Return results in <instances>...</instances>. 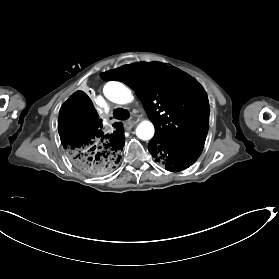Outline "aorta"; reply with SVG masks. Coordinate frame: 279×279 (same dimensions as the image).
<instances>
[{
  "label": "aorta",
  "mask_w": 279,
  "mask_h": 279,
  "mask_svg": "<svg viewBox=\"0 0 279 279\" xmlns=\"http://www.w3.org/2000/svg\"><path fill=\"white\" fill-rule=\"evenodd\" d=\"M103 92L105 97L114 103L126 104L133 100L131 91L120 82H108L104 86ZM154 132V125L150 121H143L136 128V135L142 140L151 139Z\"/></svg>",
  "instance_id": "obj_1"
}]
</instances>
